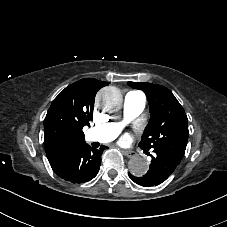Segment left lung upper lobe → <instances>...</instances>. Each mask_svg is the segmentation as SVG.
I'll list each match as a JSON object with an SVG mask.
<instances>
[{
  "label": "left lung upper lobe",
  "mask_w": 227,
  "mask_h": 227,
  "mask_svg": "<svg viewBox=\"0 0 227 227\" xmlns=\"http://www.w3.org/2000/svg\"><path fill=\"white\" fill-rule=\"evenodd\" d=\"M128 85L143 90L147 96L150 115L139 146L145 151H166L183 158L189 136L188 119L183 107L164 86L142 82Z\"/></svg>",
  "instance_id": "left-lung-upper-lobe-1"
}]
</instances>
